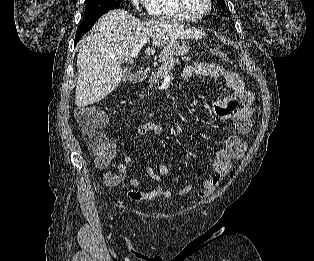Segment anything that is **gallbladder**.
Wrapping results in <instances>:
<instances>
[{
    "instance_id": "1",
    "label": "gallbladder",
    "mask_w": 314,
    "mask_h": 261,
    "mask_svg": "<svg viewBox=\"0 0 314 261\" xmlns=\"http://www.w3.org/2000/svg\"><path fill=\"white\" fill-rule=\"evenodd\" d=\"M132 76V71L130 68H125L123 70V74H122V80L123 81H127L130 79V77Z\"/></svg>"
}]
</instances>
